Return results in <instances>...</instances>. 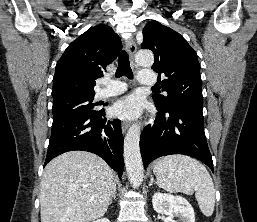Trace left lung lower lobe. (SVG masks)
I'll list each match as a JSON object with an SVG mask.
<instances>
[{"instance_id": "obj_1", "label": "left lung lower lobe", "mask_w": 257, "mask_h": 222, "mask_svg": "<svg viewBox=\"0 0 257 222\" xmlns=\"http://www.w3.org/2000/svg\"><path fill=\"white\" fill-rule=\"evenodd\" d=\"M157 110L154 120L144 128L140 138L144 168L158 157L184 154L202 161L213 171L202 111L182 107Z\"/></svg>"}]
</instances>
